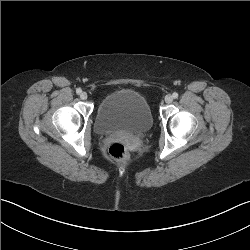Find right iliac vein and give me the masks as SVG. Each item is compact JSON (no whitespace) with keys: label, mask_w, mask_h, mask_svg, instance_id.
I'll return each instance as SVG.
<instances>
[{"label":"right iliac vein","mask_w":250,"mask_h":250,"mask_svg":"<svg viewBox=\"0 0 250 250\" xmlns=\"http://www.w3.org/2000/svg\"><path fill=\"white\" fill-rule=\"evenodd\" d=\"M87 97H88V95H87L86 92H82V93L80 94V98H81L82 100H86Z\"/></svg>","instance_id":"obj_1"}]
</instances>
